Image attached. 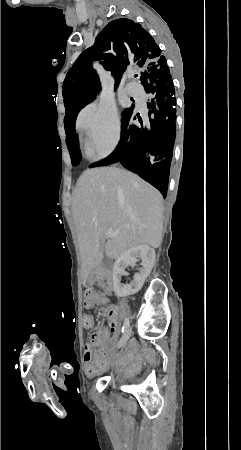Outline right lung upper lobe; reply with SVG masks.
I'll return each instance as SVG.
<instances>
[{"instance_id": "cb5924a9", "label": "right lung upper lobe", "mask_w": 241, "mask_h": 450, "mask_svg": "<svg viewBox=\"0 0 241 450\" xmlns=\"http://www.w3.org/2000/svg\"><path fill=\"white\" fill-rule=\"evenodd\" d=\"M95 60L111 72L115 88L127 73L138 72L141 76L148 68L167 63L153 37L140 24L125 18L111 21L98 34L94 46L85 50L69 70L100 89L99 76L92 67Z\"/></svg>"}]
</instances>
